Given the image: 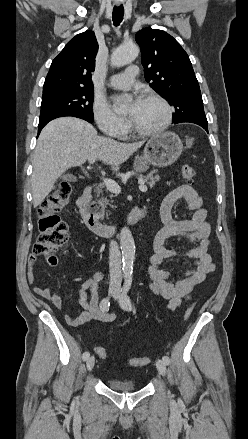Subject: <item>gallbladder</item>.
Returning a JSON list of instances; mask_svg holds the SVG:
<instances>
[{
  "instance_id": "gallbladder-1",
  "label": "gallbladder",
  "mask_w": 248,
  "mask_h": 439,
  "mask_svg": "<svg viewBox=\"0 0 248 439\" xmlns=\"http://www.w3.org/2000/svg\"><path fill=\"white\" fill-rule=\"evenodd\" d=\"M62 178L65 179V180H69V181H75L76 180V177L74 175H71V174L63 175Z\"/></svg>"
}]
</instances>
